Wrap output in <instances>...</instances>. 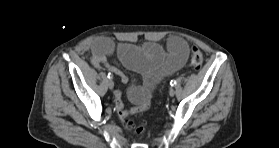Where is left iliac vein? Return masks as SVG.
I'll return each mask as SVG.
<instances>
[{"label":"left iliac vein","instance_id":"4c4485c4","mask_svg":"<svg viewBox=\"0 0 279 148\" xmlns=\"http://www.w3.org/2000/svg\"><path fill=\"white\" fill-rule=\"evenodd\" d=\"M169 95H170L171 97H173V96L175 95V90H174L173 88H171V89L169 90Z\"/></svg>","mask_w":279,"mask_h":148}]
</instances>
